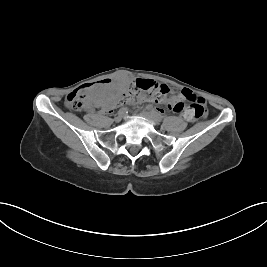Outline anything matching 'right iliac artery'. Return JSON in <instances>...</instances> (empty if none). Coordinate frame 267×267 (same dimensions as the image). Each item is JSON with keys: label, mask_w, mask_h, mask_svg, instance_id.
Masks as SVG:
<instances>
[{"label": "right iliac artery", "mask_w": 267, "mask_h": 267, "mask_svg": "<svg viewBox=\"0 0 267 267\" xmlns=\"http://www.w3.org/2000/svg\"><path fill=\"white\" fill-rule=\"evenodd\" d=\"M128 111H127V108H121L119 111H118V114H126Z\"/></svg>", "instance_id": "obj_1"}]
</instances>
